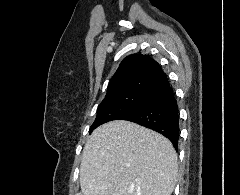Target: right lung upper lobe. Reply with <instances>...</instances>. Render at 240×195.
<instances>
[{"mask_svg":"<svg viewBox=\"0 0 240 195\" xmlns=\"http://www.w3.org/2000/svg\"><path fill=\"white\" fill-rule=\"evenodd\" d=\"M167 79L155 60L148 55L133 54L121 62L110 80L106 96L126 92L148 93Z\"/></svg>","mask_w":240,"mask_h":195,"instance_id":"cb5924a9","label":"right lung upper lobe"}]
</instances>
